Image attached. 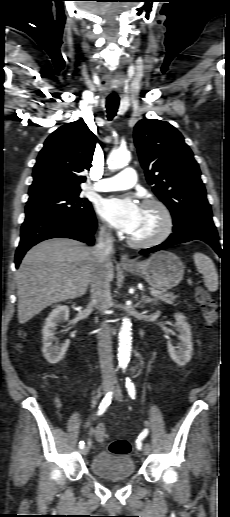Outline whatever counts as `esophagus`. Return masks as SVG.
I'll return each mask as SVG.
<instances>
[{"label":"esophagus","instance_id":"34e87169","mask_svg":"<svg viewBox=\"0 0 230 517\" xmlns=\"http://www.w3.org/2000/svg\"><path fill=\"white\" fill-rule=\"evenodd\" d=\"M120 264L123 266H132L134 265L133 261L129 259L127 254H122L120 257Z\"/></svg>","mask_w":230,"mask_h":517}]
</instances>
